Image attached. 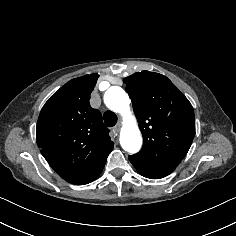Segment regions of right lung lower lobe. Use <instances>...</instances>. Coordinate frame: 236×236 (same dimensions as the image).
<instances>
[{
    "mask_svg": "<svg viewBox=\"0 0 236 236\" xmlns=\"http://www.w3.org/2000/svg\"><path fill=\"white\" fill-rule=\"evenodd\" d=\"M103 168H104V166L99 171H97L96 173H94L92 175L81 177V178L69 179L66 181L76 184V185H83V184L90 183L98 178V176L102 172Z\"/></svg>",
    "mask_w": 236,
    "mask_h": 236,
    "instance_id": "obj_1",
    "label": "right lung lower lobe"
}]
</instances>
